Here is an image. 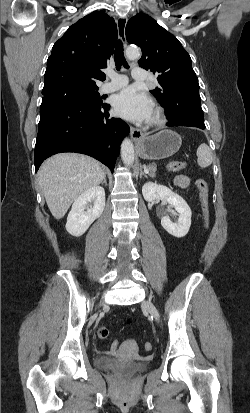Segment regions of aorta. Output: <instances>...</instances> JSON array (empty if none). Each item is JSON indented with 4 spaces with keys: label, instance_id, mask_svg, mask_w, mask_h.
Wrapping results in <instances>:
<instances>
[{
    "label": "aorta",
    "instance_id": "aorta-1",
    "mask_svg": "<svg viewBox=\"0 0 250 413\" xmlns=\"http://www.w3.org/2000/svg\"><path fill=\"white\" fill-rule=\"evenodd\" d=\"M127 58L133 60L140 56L138 48L128 47L126 49ZM121 157L126 166H132L134 163V146L130 139L126 138L121 144Z\"/></svg>",
    "mask_w": 250,
    "mask_h": 413
}]
</instances>
